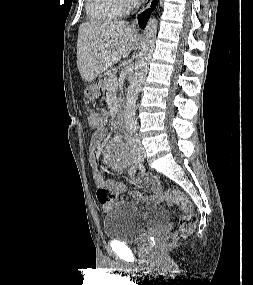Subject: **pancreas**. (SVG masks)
<instances>
[{"mask_svg": "<svg viewBox=\"0 0 253 285\" xmlns=\"http://www.w3.org/2000/svg\"><path fill=\"white\" fill-rule=\"evenodd\" d=\"M117 72L118 70L115 67L106 70V72L104 73V76L99 81V85L103 89V91L108 89V87L110 86L109 79L114 77L117 74Z\"/></svg>", "mask_w": 253, "mask_h": 285, "instance_id": "pancreas-1", "label": "pancreas"}]
</instances>
